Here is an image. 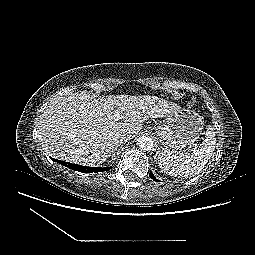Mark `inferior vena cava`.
<instances>
[{"instance_id": "inferior-vena-cava-1", "label": "inferior vena cava", "mask_w": 255, "mask_h": 255, "mask_svg": "<svg viewBox=\"0 0 255 255\" xmlns=\"http://www.w3.org/2000/svg\"><path fill=\"white\" fill-rule=\"evenodd\" d=\"M130 140V137L127 134L119 133L115 137V143L117 145L125 144Z\"/></svg>"}]
</instances>
